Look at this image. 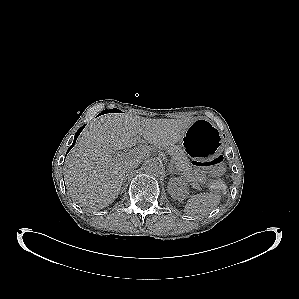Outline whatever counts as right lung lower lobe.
<instances>
[{
	"mask_svg": "<svg viewBox=\"0 0 299 299\" xmlns=\"http://www.w3.org/2000/svg\"><path fill=\"white\" fill-rule=\"evenodd\" d=\"M85 126H82L78 131L77 133L75 134V139H74V142L73 144L70 146V148L68 149L67 153L72 149V147L74 146L75 142H76V139L78 138L79 134L81 133V131L83 130Z\"/></svg>",
	"mask_w": 299,
	"mask_h": 299,
	"instance_id": "right-lung-lower-lobe-1",
	"label": "right lung lower lobe"
}]
</instances>
